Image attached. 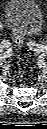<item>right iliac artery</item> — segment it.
Wrapping results in <instances>:
<instances>
[{"label": "right iliac artery", "mask_w": 47, "mask_h": 129, "mask_svg": "<svg viewBox=\"0 0 47 129\" xmlns=\"http://www.w3.org/2000/svg\"><path fill=\"white\" fill-rule=\"evenodd\" d=\"M2 44H3V45H8V44H10V43H9L8 41H6V40H3V41H2Z\"/></svg>", "instance_id": "obj_1"}]
</instances>
